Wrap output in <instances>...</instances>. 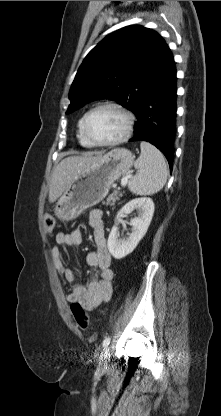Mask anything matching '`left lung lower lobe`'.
I'll return each mask as SVG.
<instances>
[{
    "instance_id": "0a47b994",
    "label": "left lung lower lobe",
    "mask_w": 221,
    "mask_h": 416,
    "mask_svg": "<svg viewBox=\"0 0 221 416\" xmlns=\"http://www.w3.org/2000/svg\"><path fill=\"white\" fill-rule=\"evenodd\" d=\"M176 69L166 46L154 80L140 99L136 112L134 137L129 141H147L156 146L173 165L176 132Z\"/></svg>"
}]
</instances>
